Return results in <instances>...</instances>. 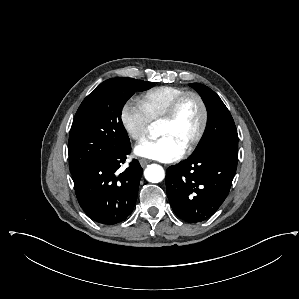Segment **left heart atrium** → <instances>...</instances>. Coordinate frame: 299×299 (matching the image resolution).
I'll return each mask as SVG.
<instances>
[{"label": "left heart atrium", "instance_id": "left-heart-atrium-1", "mask_svg": "<svg viewBox=\"0 0 299 299\" xmlns=\"http://www.w3.org/2000/svg\"><path fill=\"white\" fill-rule=\"evenodd\" d=\"M137 156L172 162L184 154V149L169 137H160L156 140H144L135 148Z\"/></svg>", "mask_w": 299, "mask_h": 299}]
</instances>
